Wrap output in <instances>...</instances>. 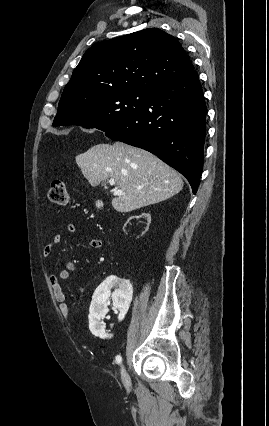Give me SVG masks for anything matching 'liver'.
Listing matches in <instances>:
<instances>
[{"instance_id":"1","label":"liver","mask_w":269,"mask_h":426,"mask_svg":"<svg viewBox=\"0 0 269 426\" xmlns=\"http://www.w3.org/2000/svg\"><path fill=\"white\" fill-rule=\"evenodd\" d=\"M82 174L93 187L114 179L125 193L112 199L118 212L165 201L183 188L181 175L143 149L122 142L97 144L75 158Z\"/></svg>"}]
</instances>
